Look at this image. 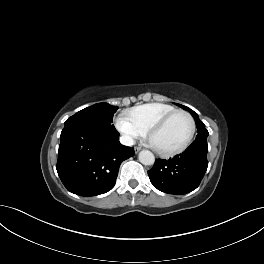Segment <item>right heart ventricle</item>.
<instances>
[{"label":"right heart ventricle","instance_id":"right-heart-ventricle-1","mask_svg":"<svg viewBox=\"0 0 264 264\" xmlns=\"http://www.w3.org/2000/svg\"><path fill=\"white\" fill-rule=\"evenodd\" d=\"M174 110L177 109L173 105L154 102L135 107L127 111V115L146 134L155 123Z\"/></svg>","mask_w":264,"mask_h":264}]
</instances>
